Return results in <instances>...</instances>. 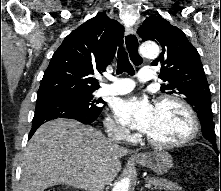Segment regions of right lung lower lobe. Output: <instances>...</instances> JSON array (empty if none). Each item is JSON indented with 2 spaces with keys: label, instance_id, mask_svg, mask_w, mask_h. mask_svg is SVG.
<instances>
[{
  "label": "right lung lower lobe",
  "instance_id": "1",
  "mask_svg": "<svg viewBox=\"0 0 221 191\" xmlns=\"http://www.w3.org/2000/svg\"><path fill=\"white\" fill-rule=\"evenodd\" d=\"M99 115H86L78 110L67 98L61 95L37 96L35 115L32 121V130L29 139L34 132L45 122L57 118L75 119L83 124L94 122Z\"/></svg>",
  "mask_w": 221,
  "mask_h": 191
}]
</instances>
